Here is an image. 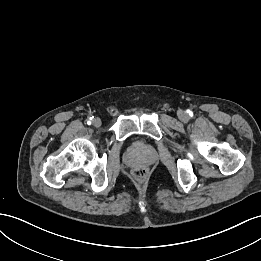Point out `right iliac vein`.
Masks as SVG:
<instances>
[{
    "label": "right iliac vein",
    "instance_id": "63e3f726",
    "mask_svg": "<svg viewBox=\"0 0 261 261\" xmlns=\"http://www.w3.org/2000/svg\"><path fill=\"white\" fill-rule=\"evenodd\" d=\"M92 124L95 126V127H100L101 126V119L96 117L93 119L92 121Z\"/></svg>",
    "mask_w": 261,
    "mask_h": 261
}]
</instances>
